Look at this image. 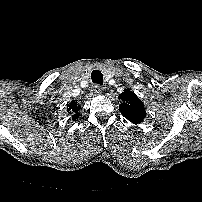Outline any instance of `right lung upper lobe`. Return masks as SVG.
<instances>
[{
  "instance_id": "1",
  "label": "right lung upper lobe",
  "mask_w": 202,
  "mask_h": 202,
  "mask_svg": "<svg viewBox=\"0 0 202 202\" xmlns=\"http://www.w3.org/2000/svg\"><path fill=\"white\" fill-rule=\"evenodd\" d=\"M80 109V106L77 105V102L72 101L69 105H68V109L67 111L74 114L73 116V120L77 119L79 116L78 110Z\"/></svg>"
}]
</instances>
